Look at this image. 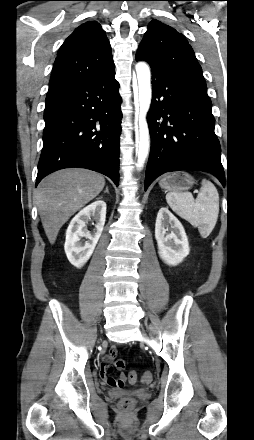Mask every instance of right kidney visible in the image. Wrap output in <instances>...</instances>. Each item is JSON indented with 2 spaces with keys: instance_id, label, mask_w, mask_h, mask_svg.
<instances>
[{
  "instance_id": "1",
  "label": "right kidney",
  "mask_w": 254,
  "mask_h": 440,
  "mask_svg": "<svg viewBox=\"0 0 254 440\" xmlns=\"http://www.w3.org/2000/svg\"><path fill=\"white\" fill-rule=\"evenodd\" d=\"M93 218L96 222L93 233L87 230L86 223ZM106 218V203L97 200L82 209L70 222L66 231L65 253L72 265L82 267L91 257L102 234ZM82 238L87 241L83 244Z\"/></svg>"
}]
</instances>
